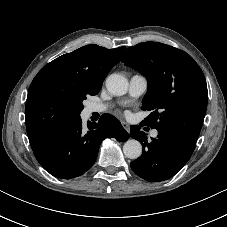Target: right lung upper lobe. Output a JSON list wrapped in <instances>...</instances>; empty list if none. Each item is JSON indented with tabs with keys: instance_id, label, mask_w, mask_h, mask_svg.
<instances>
[{
	"instance_id": "right-lung-upper-lobe-1",
	"label": "right lung upper lobe",
	"mask_w": 227,
	"mask_h": 227,
	"mask_svg": "<svg viewBox=\"0 0 227 227\" xmlns=\"http://www.w3.org/2000/svg\"><path fill=\"white\" fill-rule=\"evenodd\" d=\"M126 47L86 45L45 65L33 79L25 106L32 150L50 135L80 117L81 98L96 95Z\"/></svg>"
}]
</instances>
